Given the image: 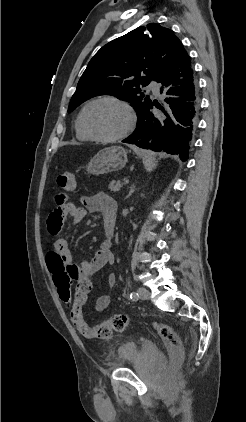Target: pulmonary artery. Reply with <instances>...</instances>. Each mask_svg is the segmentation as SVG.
I'll return each mask as SVG.
<instances>
[{
	"label": "pulmonary artery",
	"instance_id": "e3ab8cb5",
	"mask_svg": "<svg viewBox=\"0 0 246 422\" xmlns=\"http://www.w3.org/2000/svg\"><path fill=\"white\" fill-rule=\"evenodd\" d=\"M148 88L154 93V94H156V95H158L159 94V89H160V86H159V84L157 83V82H155V81H152V82H150V84H149V86H148Z\"/></svg>",
	"mask_w": 246,
	"mask_h": 422
}]
</instances>
